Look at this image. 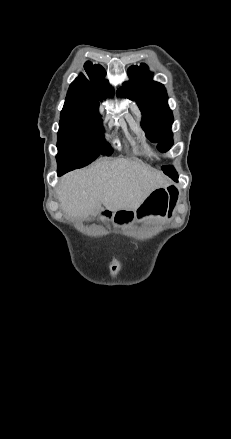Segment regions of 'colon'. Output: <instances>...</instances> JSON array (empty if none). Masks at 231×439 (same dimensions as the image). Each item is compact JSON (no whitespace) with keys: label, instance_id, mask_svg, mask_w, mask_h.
I'll list each match as a JSON object with an SVG mask.
<instances>
[{"label":"colon","instance_id":"colon-1","mask_svg":"<svg viewBox=\"0 0 231 439\" xmlns=\"http://www.w3.org/2000/svg\"><path fill=\"white\" fill-rule=\"evenodd\" d=\"M168 192H169V195H170V197H172V198H176V195H177V189L174 187V186H170L169 188H168Z\"/></svg>","mask_w":231,"mask_h":439}]
</instances>
